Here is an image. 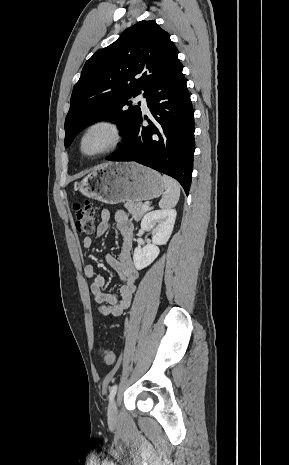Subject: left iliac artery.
<instances>
[{
	"label": "left iliac artery",
	"mask_w": 289,
	"mask_h": 465,
	"mask_svg": "<svg viewBox=\"0 0 289 465\" xmlns=\"http://www.w3.org/2000/svg\"><path fill=\"white\" fill-rule=\"evenodd\" d=\"M117 392V385H113L110 389V394H109V400L110 402L113 400V398L115 397V394Z\"/></svg>",
	"instance_id": "left-iliac-artery-1"
}]
</instances>
